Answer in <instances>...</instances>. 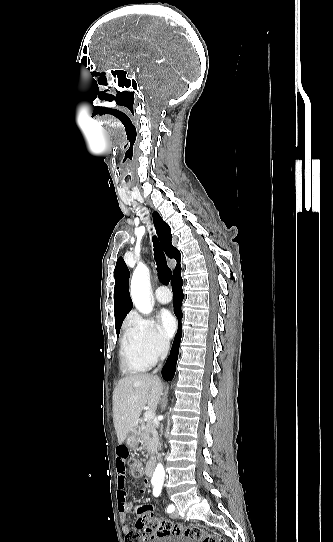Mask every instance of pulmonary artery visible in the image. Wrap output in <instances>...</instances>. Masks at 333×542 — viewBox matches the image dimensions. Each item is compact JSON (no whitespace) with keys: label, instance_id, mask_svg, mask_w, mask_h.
<instances>
[{"label":"pulmonary artery","instance_id":"pulmonary-artery-1","mask_svg":"<svg viewBox=\"0 0 333 542\" xmlns=\"http://www.w3.org/2000/svg\"><path fill=\"white\" fill-rule=\"evenodd\" d=\"M156 292L158 293L156 294L155 299L158 301V303L163 304V305L170 303L171 301L170 292L168 290V287L165 284H160L157 287Z\"/></svg>","mask_w":333,"mask_h":542}]
</instances>
